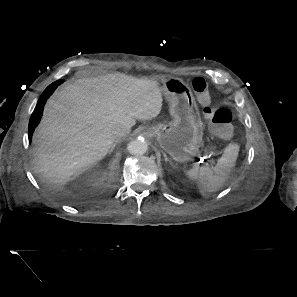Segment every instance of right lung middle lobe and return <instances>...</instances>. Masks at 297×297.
Listing matches in <instances>:
<instances>
[{
	"label": "right lung middle lobe",
	"mask_w": 297,
	"mask_h": 297,
	"mask_svg": "<svg viewBox=\"0 0 297 297\" xmlns=\"http://www.w3.org/2000/svg\"><path fill=\"white\" fill-rule=\"evenodd\" d=\"M62 82H63L62 80H58V81L52 83L51 85H49V86L46 88V90L54 91L55 88H56L58 85H60Z\"/></svg>",
	"instance_id": "right-lung-middle-lobe-1"
}]
</instances>
